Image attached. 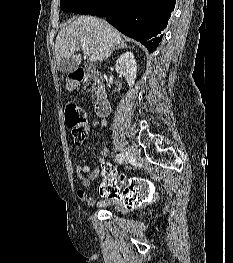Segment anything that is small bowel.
Listing matches in <instances>:
<instances>
[{
	"instance_id": "obj_1",
	"label": "small bowel",
	"mask_w": 233,
	"mask_h": 263,
	"mask_svg": "<svg viewBox=\"0 0 233 263\" xmlns=\"http://www.w3.org/2000/svg\"><path fill=\"white\" fill-rule=\"evenodd\" d=\"M92 125L93 127H96V128L97 127L105 128L107 126V122L103 119L94 120ZM106 153H107V149H103L102 155H106ZM101 171H113L112 167L108 165L105 162L104 158L102 157L98 159V166L94 170H92L90 166L88 165L77 166L76 168L77 176L80 179L81 184L84 188L90 187L92 182L99 176ZM121 172H120V175H121ZM102 196H104L105 198L97 201V200H94L92 197H90L84 189H79L77 191V197L79 198V200L84 203H87L90 206L100 208L110 203H113L115 205V210L118 212H125L126 210L131 209V208H123L122 202H112L111 199H107V195H102Z\"/></svg>"
}]
</instances>
